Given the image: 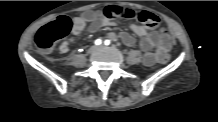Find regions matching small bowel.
Instances as JSON below:
<instances>
[{"label":"small bowel","mask_w":218,"mask_h":122,"mask_svg":"<svg viewBox=\"0 0 218 122\" xmlns=\"http://www.w3.org/2000/svg\"><path fill=\"white\" fill-rule=\"evenodd\" d=\"M111 24L112 21L101 11H88L74 17L71 28L72 37L61 43L59 46L60 52L67 53L70 44L82 34L87 26L90 32H96L101 27ZM129 28L135 36L140 38L139 47L144 53L143 63L146 66L159 63V59L165 57L171 49L172 39L166 31H148L145 26L139 24H131ZM108 37L112 40L119 39L129 47H133L136 44L135 37L127 32H121L119 34L110 33Z\"/></svg>","instance_id":"1"}]
</instances>
